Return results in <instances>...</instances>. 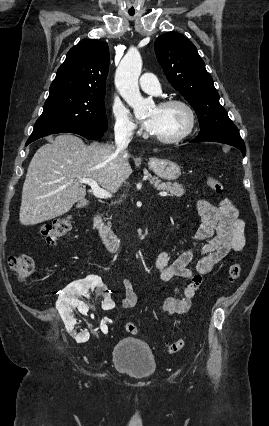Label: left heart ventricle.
<instances>
[{"mask_svg": "<svg viewBox=\"0 0 269 426\" xmlns=\"http://www.w3.org/2000/svg\"><path fill=\"white\" fill-rule=\"evenodd\" d=\"M148 118L153 120L150 133L163 138L179 135L188 124V115L180 106H156L148 112Z\"/></svg>", "mask_w": 269, "mask_h": 426, "instance_id": "left-heart-ventricle-1", "label": "left heart ventricle"}]
</instances>
